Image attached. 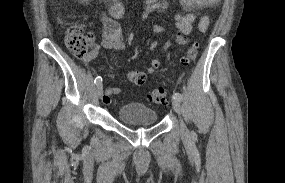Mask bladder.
<instances>
[{
	"label": "bladder",
	"mask_w": 285,
	"mask_h": 183,
	"mask_svg": "<svg viewBox=\"0 0 285 183\" xmlns=\"http://www.w3.org/2000/svg\"><path fill=\"white\" fill-rule=\"evenodd\" d=\"M118 118L123 123L152 125L157 122V112L140 103H128L120 107Z\"/></svg>",
	"instance_id": "1"
}]
</instances>
